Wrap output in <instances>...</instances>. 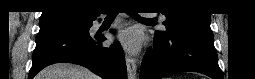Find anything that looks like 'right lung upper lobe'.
Instances as JSON below:
<instances>
[{"label": "right lung upper lobe", "instance_id": "obj_1", "mask_svg": "<svg viewBox=\"0 0 255 79\" xmlns=\"http://www.w3.org/2000/svg\"><path fill=\"white\" fill-rule=\"evenodd\" d=\"M66 13H72L80 20L88 21L96 18L99 9L86 0H48L40 19Z\"/></svg>", "mask_w": 255, "mask_h": 79}]
</instances>
